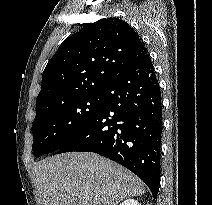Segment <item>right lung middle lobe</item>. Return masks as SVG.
Segmentation results:
<instances>
[{
	"instance_id": "1",
	"label": "right lung middle lobe",
	"mask_w": 212,
	"mask_h": 205,
	"mask_svg": "<svg viewBox=\"0 0 212 205\" xmlns=\"http://www.w3.org/2000/svg\"><path fill=\"white\" fill-rule=\"evenodd\" d=\"M101 92L82 96L35 117L32 123L35 157L57 151L97 112Z\"/></svg>"
}]
</instances>
